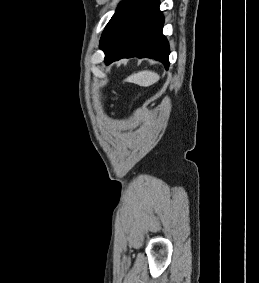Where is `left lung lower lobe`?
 Instances as JSON below:
<instances>
[{"mask_svg": "<svg viewBox=\"0 0 259 283\" xmlns=\"http://www.w3.org/2000/svg\"><path fill=\"white\" fill-rule=\"evenodd\" d=\"M159 0H124L105 27L100 48L107 65L121 58H153L169 67Z\"/></svg>", "mask_w": 259, "mask_h": 283, "instance_id": "obj_1", "label": "left lung lower lobe"}]
</instances>
